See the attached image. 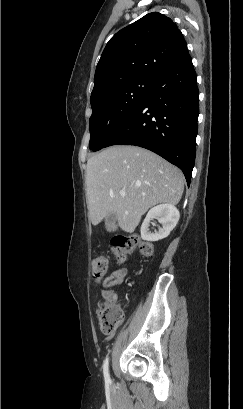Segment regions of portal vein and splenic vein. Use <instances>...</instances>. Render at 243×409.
<instances>
[{
	"label": "portal vein and splenic vein",
	"instance_id": "portal-vein-and-splenic-vein-1",
	"mask_svg": "<svg viewBox=\"0 0 243 409\" xmlns=\"http://www.w3.org/2000/svg\"><path fill=\"white\" fill-rule=\"evenodd\" d=\"M120 195L124 197V196H126V192L122 190V191H120Z\"/></svg>",
	"mask_w": 243,
	"mask_h": 409
}]
</instances>
